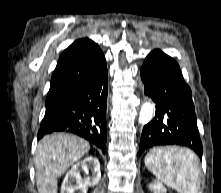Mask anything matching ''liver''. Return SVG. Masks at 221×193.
Listing matches in <instances>:
<instances>
[{"mask_svg": "<svg viewBox=\"0 0 221 193\" xmlns=\"http://www.w3.org/2000/svg\"><path fill=\"white\" fill-rule=\"evenodd\" d=\"M89 149V143L75 135L44 136L38 143L34 160L38 193H57L58 178Z\"/></svg>", "mask_w": 221, "mask_h": 193, "instance_id": "6515ba94", "label": "liver"}]
</instances>
